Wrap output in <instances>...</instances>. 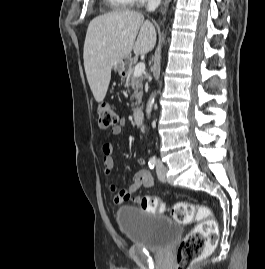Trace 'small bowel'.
Masks as SVG:
<instances>
[{"label":"small bowel","instance_id":"c3829d8e","mask_svg":"<svg viewBox=\"0 0 265 269\" xmlns=\"http://www.w3.org/2000/svg\"><path fill=\"white\" fill-rule=\"evenodd\" d=\"M125 125L123 120L120 123L111 129L113 135H120L122 132V128ZM114 147L111 143L106 142L102 145V153H103V163H104V173L106 175H110L114 165V157H113ZM138 165L144 166L146 161L144 158H139L137 160ZM155 182L149 171L145 169L139 170L133 177V180L127 185L126 188L118 190L116 184L112 181L108 183V189L114 193L113 203L115 205H121L125 202L131 200L132 196L136 193V191L140 187L144 188H152Z\"/></svg>","mask_w":265,"mask_h":269}]
</instances>
